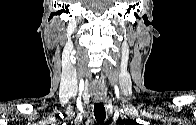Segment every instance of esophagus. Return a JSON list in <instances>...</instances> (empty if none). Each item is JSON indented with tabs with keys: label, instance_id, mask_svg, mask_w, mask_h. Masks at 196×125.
I'll list each match as a JSON object with an SVG mask.
<instances>
[{
	"label": "esophagus",
	"instance_id": "34e87169",
	"mask_svg": "<svg viewBox=\"0 0 196 125\" xmlns=\"http://www.w3.org/2000/svg\"><path fill=\"white\" fill-rule=\"evenodd\" d=\"M95 101H96V102H101L102 99H100V98H95Z\"/></svg>",
	"mask_w": 196,
	"mask_h": 125
}]
</instances>
